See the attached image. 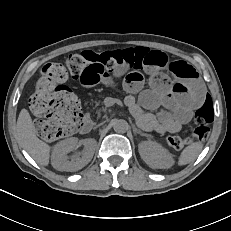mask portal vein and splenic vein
<instances>
[{"instance_id": "18ae733b", "label": "portal vein and splenic vein", "mask_w": 231, "mask_h": 231, "mask_svg": "<svg viewBox=\"0 0 231 231\" xmlns=\"http://www.w3.org/2000/svg\"><path fill=\"white\" fill-rule=\"evenodd\" d=\"M115 102L112 100L111 102L108 103V106L113 105Z\"/></svg>"}]
</instances>
